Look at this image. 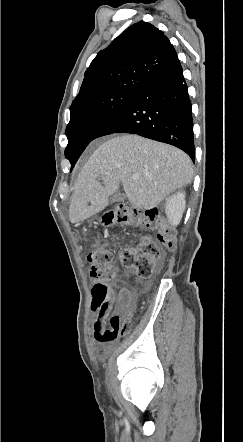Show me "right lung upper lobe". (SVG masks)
<instances>
[{"label":"right lung upper lobe","mask_w":243,"mask_h":442,"mask_svg":"<svg viewBox=\"0 0 243 442\" xmlns=\"http://www.w3.org/2000/svg\"><path fill=\"white\" fill-rule=\"evenodd\" d=\"M176 57L162 31L144 21L135 23L93 59L70 110L115 91H135Z\"/></svg>","instance_id":"obj_1"}]
</instances>
